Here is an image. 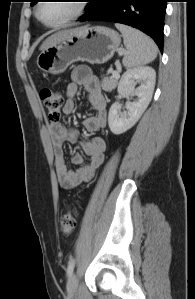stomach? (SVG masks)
<instances>
[{"instance_id":"1","label":"stomach","mask_w":195,"mask_h":299,"mask_svg":"<svg viewBox=\"0 0 195 299\" xmlns=\"http://www.w3.org/2000/svg\"><path fill=\"white\" fill-rule=\"evenodd\" d=\"M121 43L119 33L103 26H84L44 49L37 57V66L46 73H63L77 61L102 64L113 56Z\"/></svg>"}]
</instances>
